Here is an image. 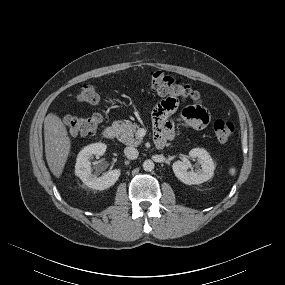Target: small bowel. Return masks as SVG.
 <instances>
[{
    "instance_id": "small-bowel-1",
    "label": "small bowel",
    "mask_w": 285,
    "mask_h": 285,
    "mask_svg": "<svg viewBox=\"0 0 285 285\" xmlns=\"http://www.w3.org/2000/svg\"><path fill=\"white\" fill-rule=\"evenodd\" d=\"M180 107L179 100L174 96L167 95L160 100L152 113L155 137L168 139L173 136L174 122L171 117L179 113ZM181 114L186 125L195 130L204 129L210 121L209 112L199 103L185 107Z\"/></svg>"
}]
</instances>
